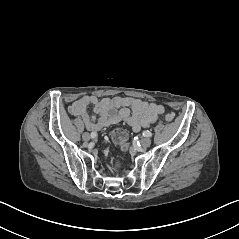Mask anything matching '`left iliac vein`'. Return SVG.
Here are the masks:
<instances>
[{"label": "left iliac vein", "mask_w": 239, "mask_h": 239, "mask_svg": "<svg viewBox=\"0 0 239 239\" xmlns=\"http://www.w3.org/2000/svg\"><path fill=\"white\" fill-rule=\"evenodd\" d=\"M141 146L144 148H147L151 145V139L150 138H143L141 141Z\"/></svg>", "instance_id": "1"}]
</instances>
